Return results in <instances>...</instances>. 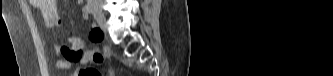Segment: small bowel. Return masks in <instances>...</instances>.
<instances>
[{"mask_svg":"<svg viewBox=\"0 0 333 76\" xmlns=\"http://www.w3.org/2000/svg\"><path fill=\"white\" fill-rule=\"evenodd\" d=\"M81 2L79 1V3ZM33 3L49 27L60 28L62 26L57 10V0H34ZM83 18H88L86 12L83 13ZM90 39L97 43L104 42L105 37L92 25ZM55 51L58 56L56 67L59 69H69L74 63L87 65L91 62H97L104 54L108 53L106 47L86 49L83 40L77 36H66L58 39L55 43ZM91 69L97 71L94 68ZM68 76H81V71L77 72L75 68H72Z\"/></svg>","mask_w":333,"mask_h":76,"instance_id":"obj_1","label":"small bowel"}]
</instances>
